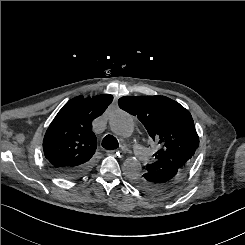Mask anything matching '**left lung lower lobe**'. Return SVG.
<instances>
[{
	"label": "left lung lower lobe",
	"mask_w": 245,
	"mask_h": 245,
	"mask_svg": "<svg viewBox=\"0 0 245 245\" xmlns=\"http://www.w3.org/2000/svg\"><path fill=\"white\" fill-rule=\"evenodd\" d=\"M182 175L183 172L176 168L168 167L158 170L151 177H148L152 187V194H159L170 190L178 183Z\"/></svg>",
	"instance_id": "obj_1"
}]
</instances>
